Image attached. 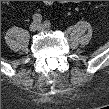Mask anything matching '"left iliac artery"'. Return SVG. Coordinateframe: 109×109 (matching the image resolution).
I'll return each instance as SVG.
<instances>
[{
	"mask_svg": "<svg viewBox=\"0 0 109 109\" xmlns=\"http://www.w3.org/2000/svg\"><path fill=\"white\" fill-rule=\"evenodd\" d=\"M50 25H51V24H50V22H49V21H45V22H44V26H45V28H49V27H50Z\"/></svg>",
	"mask_w": 109,
	"mask_h": 109,
	"instance_id": "44dca946",
	"label": "left iliac artery"
}]
</instances>
